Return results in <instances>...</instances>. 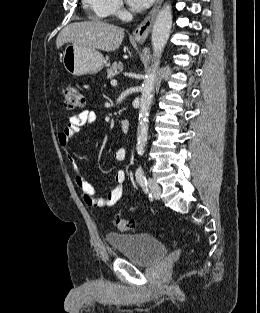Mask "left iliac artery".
I'll list each match as a JSON object with an SVG mask.
<instances>
[{
    "label": "left iliac artery",
    "mask_w": 260,
    "mask_h": 313,
    "mask_svg": "<svg viewBox=\"0 0 260 313\" xmlns=\"http://www.w3.org/2000/svg\"><path fill=\"white\" fill-rule=\"evenodd\" d=\"M136 179L138 181V183L140 184V186L142 187L143 191L145 193H147L149 190H148V182H147V179L145 177V174H144V170L141 166H139L136 170Z\"/></svg>",
    "instance_id": "obj_1"
}]
</instances>
